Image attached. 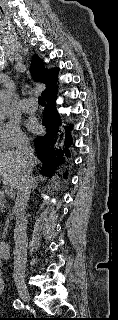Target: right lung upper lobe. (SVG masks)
<instances>
[{"label":"right lung upper lobe","mask_w":118,"mask_h":320,"mask_svg":"<svg viewBox=\"0 0 118 320\" xmlns=\"http://www.w3.org/2000/svg\"><path fill=\"white\" fill-rule=\"evenodd\" d=\"M32 76L36 81H40L46 84L47 88L42 95L44 97L54 93L56 90L55 73L53 71L46 70L42 65V60L35 55L32 60Z\"/></svg>","instance_id":"1"}]
</instances>
